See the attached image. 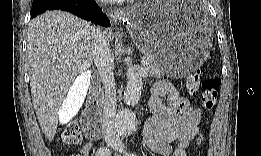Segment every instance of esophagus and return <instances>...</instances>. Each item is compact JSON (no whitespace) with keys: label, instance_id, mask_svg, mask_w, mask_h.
Returning a JSON list of instances; mask_svg holds the SVG:
<instances>
[{"label":"esophagus","instance_id":"esophagus-1","mask_svg":"<svg viewBox=\"0 0 261 156\" xmlns=\"http://www.w3.org/2000/svg\"><path fill=\"white\" fill-rule=\"evenodd\" d=\"M113 21H121L122 17L125 16V11L123 9H115L110 13Z\"/></svg>","mask_w":261,"mask_h":156}]
</instances>
